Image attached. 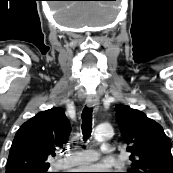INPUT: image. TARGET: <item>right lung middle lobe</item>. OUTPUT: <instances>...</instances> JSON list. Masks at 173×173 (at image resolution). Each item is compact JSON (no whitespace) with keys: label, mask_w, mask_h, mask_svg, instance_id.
I'll return each instance as SVG.
<instances>
[{"label":"right lung middle lobe","mask_w":173,"mask_h":173,"mask_svg":"<svg viewBox=\"0 0 173 173\" xmlns=\"http://www.w3.org/2000/svg\"><path fill=\"white\" fill-rule=\"evenodd\" d=\"M48 169H49V168L40 169V170H36V171H31V172H32V173H49V172H48Z\"/></svg>","instance_id":"obj_1"}]
</instances>
